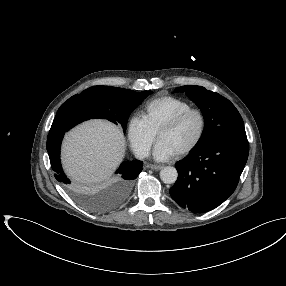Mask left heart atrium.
Segmentation results:
<instances>
[{
	"instance_id": "left-heart-atrium-1",
	"label": "left heart atrium",
	"mask_w": 286,
	"mask_h": 286,
	"mask_svg": "<svg viewBox=\"0 0 286 286\" xmlns=\"http://www.w3.org/2000/svg\"><path fill=\"white\" fill-rule=\"evenodd\" d=\"M177 152L165 141L159 140L155 146L153 156L156 160L165 161L175 156Z\"/></svg>"
}]
</instances>
